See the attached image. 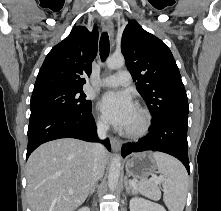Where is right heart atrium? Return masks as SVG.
<instances>
[{
	"instance_id": "1",
	"label": "right heart atrium",
	"mask_w": 221,
	"mask_h": 211,
	"mask_svg": "<svg viewBox=\"0 0 221 211\" xmlns=\"http://www.w3.org/2000/svg\"><path fill=\"white\" fill-rule=\"evenodd\" d=\"M96 124L100 129H105L107 126L106 121L103 117H98Z\"/></svg>"
}]
</instances>
